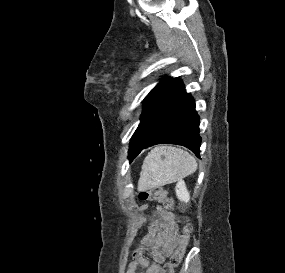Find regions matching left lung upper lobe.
I'll return each instance as SVG.
<instances>
[{"label":"left lung upper lobe","mask_w":285,"mask_h":273,"mask_svg":"<svg viewBox=\"0 0 285 273\" xmlns=\"http://www.w3.org/2000/svg\"><path fill=\"white\" fill-rule=\"evenodd\" d=\"M177 81V78L172 77H167L161 80L146 96L144 100L145 107L142 115H144L151 107H153L177 83Z\"/></svg>","instance_id":"5c2ea615"}]
</instances>
